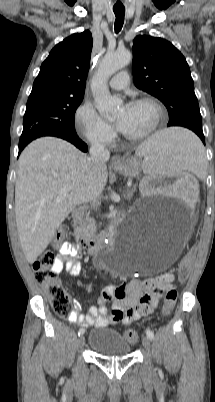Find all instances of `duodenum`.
Returning <instances> with one entry per match:
<instances>
[{
    "instance_id": "1",
    "label": "duodenum",
    "mask_w": 215,
    "mask_h": 402,
    "mask_svg": "<svg viewBox=\"0 0 215 402\" xmlns=\"http://www.w3.org/2000/svg\"><path fill=\"white\" fill-rule=\"evenodd\" d=\"M83 216V211L81 208H77L72 213V223L76 226ZM79 242L83 246L84 250L89 254H98L104 246L103 240L100 239H92V238H80L78 237Z\"/></svg>"
}]
</instances>
